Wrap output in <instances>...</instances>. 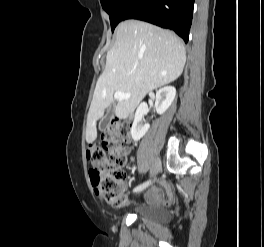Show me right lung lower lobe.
Listing matches in <instances>:
<instances>
[{"mask_svg":"<svg viewBox=\"0 0 264 247\" xmlns=\"http://www.w3.org/2000/svg\"><path fill=\"white\" fill-rule=\"evenodd\" d=\"M194 0H134L122 20L137 19L173 30L188 42Z\"/></svg>","mask_w":264,"mask_h":247,"instance_id":"98d812e1","label":"right lung lower lobe"}]
</instances>
